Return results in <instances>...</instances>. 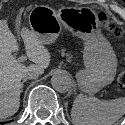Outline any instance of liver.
<instances>
[{"instance_id": "6515ba94", "label": "liver", "mask_w": 125, "mask_h": 125, "mask_svg": "<svg viewBox=\"0 0 125 125\" xmlns=\"http://www.w3.org/2000/svg\"><path fill=\"white\" fill-rule=\"evenodd\" d=\"M28 58L34 63L26 66L12 53L19 50L16 37L6 20H0V119L14 115L20 106L21 80L28 72L42 74L51 56L36 35L26 27L20 30Z\"/></svg>"}]
</instances>
